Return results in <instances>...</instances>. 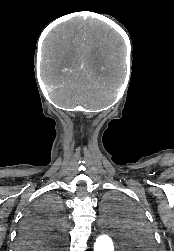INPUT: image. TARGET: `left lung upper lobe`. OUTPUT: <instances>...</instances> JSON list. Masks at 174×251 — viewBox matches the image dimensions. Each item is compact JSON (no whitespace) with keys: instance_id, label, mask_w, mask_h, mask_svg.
<instances>
[{"instance_id":"1","label":"left lung upper lobe","mask_w":174,"mask_h":251,"mask_svg":"<svg viewBox=\"0 0 174 251\" xmlns=\"http://www.w3.org/2000/svg\"><path fill=\"white\" fill-rule=\"evenodd\" d=\"M108 206L112 214H118L126 220L130 227L129 245L135 251H154L155 242L152 232L140 212L122 197L109 198Z\"/></svg>"}]
</instances>
